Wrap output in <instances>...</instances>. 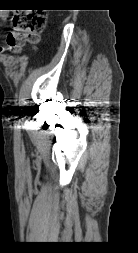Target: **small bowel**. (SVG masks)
I'll return each instance as SVG.
<instances>
[{
  "label": "small bowel",
  "mask_w": 138,
  "mask_h": 253,
  "mask_svg": "<svg viewBox=\"0 0 138 253\" xmlns=\"http://www.w3.org/2000/svg\"><path fill=\"white\" fill-rule=\"evenodd\" d=\"M5 49H6L5 46L0 45V54L3 53Z\"/></svg>",
  "instance_id": "c3829d8e"
}]
</instances>
